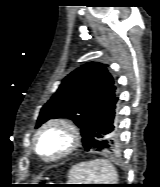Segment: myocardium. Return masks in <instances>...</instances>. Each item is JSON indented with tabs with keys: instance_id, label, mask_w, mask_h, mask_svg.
Returning <instances> with one entry per match:
<instances>
[{
	"instance_id": "f54148a6",
	"label": "myocardium",
	"mask_w": 160,
	"mask_h": 187,
	"mask_svg": "<svg viewBox=\"0 0 160 187\" xmlns=\"http://www.w3.org/2000/svg\"><path fill=\"white\" fill-rule=\"evenodd\" d=\"M51 130H59L65 134L67 138V144L56 154L47 156L41 152L40 145L44 135ZM80 140V131L74 123L64 118H54L44 122L37 129L33 139V150L41 160L45 162H55L74 152L79 146Z\"/></svg>"
}]
</instances>
